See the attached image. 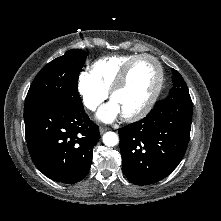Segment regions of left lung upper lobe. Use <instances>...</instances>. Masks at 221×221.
Listing matches in <instances>:
<instances>
[{
  "instance_id": "5c2ea615",
  "label": "left lung upper lobe",
  "mask_w": 221,
  "mask_h": 221,
  "mask_svg": "<svg viewBox=\"0 0 221 221\" xmlns=\"http://www.w3.org/2000/svg\"><path fill=\"white\" fill-rule=\"evenodd\" d=\"M173 71V88L171 91H188V88L186 86V83L184 82V79L180 75L179 72L176 70L172 69Z\"/></svg>"
}]
</instances>
